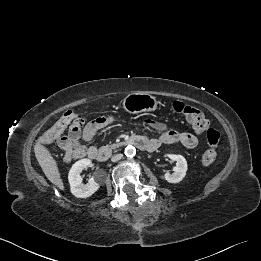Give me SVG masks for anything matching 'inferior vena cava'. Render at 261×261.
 <instances>
[{
	"mask_svg": "<svg viewBox=\"0 0 261 261\" xmlns=\"http://www.w3.org/2000/svg\"><path fill=\"white\" fill-rule=\"evenodd\" d=\"M122 156H123L122 154H116V155L112 156L111 161L117 162L122 158Z\"/></svg>",
	"mask_w": 261,
	"mask_h": 261,
	"instance_id": "obj_1",
	"label": "inferior vena cava"
}]
</instances>
